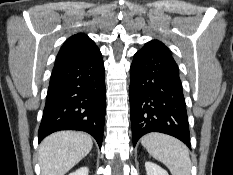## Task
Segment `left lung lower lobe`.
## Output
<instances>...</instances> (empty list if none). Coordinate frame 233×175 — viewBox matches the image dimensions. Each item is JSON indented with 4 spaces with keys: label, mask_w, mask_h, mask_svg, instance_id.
<instances>
[{
    "label": "left lung lower lobe",
    "mask_w": 233,
    "mask_h": 175,
    "mask_svg": "<svg viewBox=\"0 0 233 175\" xmlns=\"http://www.w3.org/2000/svg\"><path fill=\"white\" fill-rule=\"evenodd\" d=\"M133 145L149 132L174 136L190 148L186 104L178 66L168 53L145 44L131 64Z\"/></svg>",
    "instance_id": "obj_1"
}]
</instances>
